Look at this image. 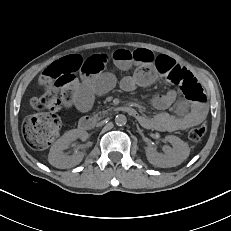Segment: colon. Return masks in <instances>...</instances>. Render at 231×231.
Here are the masks:
<instances>
[{
  "mask_svg": "<svg viewBox=\"0 0 231 231\" xmlns=\"http://www.w3.org/2000/svg\"><path fill=\"white\" fill-rule=\"evenodd\" d=\"M73 73L66 64L54 62L41 74L38 84L43 92L31 99V105L37 110L47 109L48 113H39L30 117L24 126V137L27 144L34 150H43L49 147L60 130V119L55 114L61 103L72 97L71 83ZM170 81L175 84L187 97L197 101H204L203 90L194 76L186 71H174ZM206 133V127L199 125L188 132L191 141H199Z\"/></svg>",
  "mask_w": 231,
  "mask_h": 231,
  "instance_id": "colon-1",
  "label": "colon"
}]
</instances>
